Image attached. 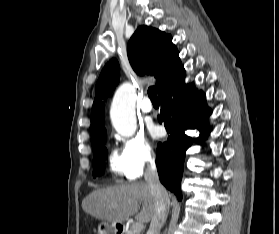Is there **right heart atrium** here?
Wrapping results in <instances>:
<instances>
[{
    "label": "right heart atrium",
    "mask_w": 279,
    "mask_h": 234,
    "mask_svg": "<svg viewBox=\"0 0 279 234\" xmlns=\"http://www.w3.org/2000/svg\"><path fill=\"white\" fill-rule=\"evenodd\" d=\"M122 154L126 161L127 175L130 179L140 177L146 168L155 161V149L141 133L123 141Z\"/></svg>",
    "instance_id": "d8ad5b80"
}]
</instances>
